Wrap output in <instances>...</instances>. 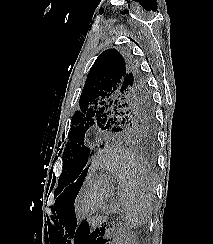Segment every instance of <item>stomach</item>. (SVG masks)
Returning <instances> with one entry per match:
<instances>
[{"label":"stomach","mask_w":213,"mask_h":244,"mask_svg":"<svg viewBox=\"0 0 213 244\" xmlns=\"http://www.w3.org/2000/svg\"><path fill=\"white\" fill-rule=\"evenodd\" d=\"M114 184L109 175L91 179L79 197L78 216L91 217L98 212L111 197Z\"/></svg>","instance_id":"obj_1"}]
</instances>
